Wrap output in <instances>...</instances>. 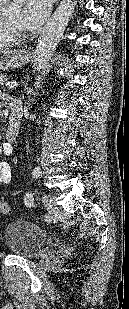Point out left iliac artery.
Segmentation results:
<instances>
[{
	"mask_svg": "<svg viewBox=\"0 0 129 309\" xmlns=\"http://www.w3.org/2000/svg\"><path fill=\"white\" fill-rule=\"evenodd\" d=\"M32 174H33L34 178H38L40 176V168L39 167H35L33 172H32ZM24 202H25V205L28 206V207L33 206V204H34L33 195L30 194V195L26 196L25 199H24ZM45 220L49 221L50 220V215H45Z\"/></svg>",
	"mask_w": 129,
	"mask_h": 309,
	"instance_id": "left-iliac-artery-1",
	"label": "left iliac artery"
}]
</instances>
